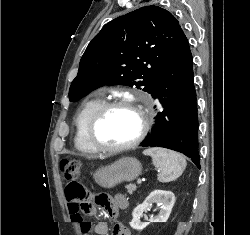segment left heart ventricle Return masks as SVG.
I'll return each mask as SVG.
<instances>
[{
	"mask_svg": "<svg viewBox=\"0 0 250 235\" xmlns=\"http://www.w3.org/2000/svg\"><path fill=\"white\" fill-rule=\"evenodd\" d=\"M141 126L139 113L128 107H117L108 112L97 129L98 139L107 145H121L132 141Z\"/></svg>",
	"mask_w": 250,
	"mask_h": 235,
	"instance_id": "1",
	"label": "left heart ventricle"
}]
</instances>
